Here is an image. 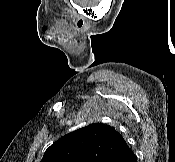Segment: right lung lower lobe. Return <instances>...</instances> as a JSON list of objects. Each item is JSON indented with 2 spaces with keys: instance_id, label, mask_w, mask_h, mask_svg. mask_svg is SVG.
<instances>
[{
  "instance_id": "right-lung-lower-lobe-1",
  "label": "right lung lower lobe",
  "mask_w": 175,
  "mask_h": 162,
  "mask_svg": "<svg viewBox=\"0 0 175 162\" xmlns=\"http://www.w3.org/2000/svg\"><path fill=\"white\" fill-rule=\"evenodd\" d=\"M114 162H137L136 155L133 151H129L128 153L118 157Z\"/></svg>"
}]
</instances>
